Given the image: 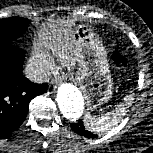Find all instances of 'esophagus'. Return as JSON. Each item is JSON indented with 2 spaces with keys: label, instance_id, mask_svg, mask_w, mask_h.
<instances>
[{
  "label": "esophagus",
  "instance_id": "1",
  "mask_svg": "<svg viewBox=\"0 0 153 153\" xmlns=\"http://www.w3.org/2000/svg\"><path fill=\"white\" fill-rule=\"evenodd\" d=\"M56 81H53L52 83H51V85L49 86V89H48V93L49 94H53V93H55V89H56Z\"/></svg>",
  "mask_w": 153,
  "mask_h": 153
}]
</instances>
